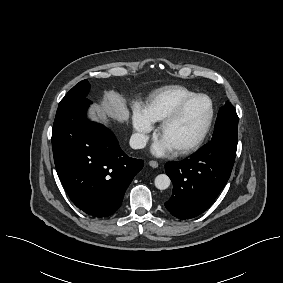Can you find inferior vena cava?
<instances>
[{
	"label": "inferior vena cava",
	"instance_id": "inferior-vena-cava-1",
	"mask_svg": "<svg viewBox=\"0 0 283 283\" xmlns=\"http://www.w3.org/2000/svg\"><path fill=\"white\" fill-rule=\"evenodd\" d=\"M148 136L141 133H134L130 138V146L133 149H142L146 146Z\"/></svg>",
	"mask_w": 283,
	"mask_h": 283
}]
</instances>
